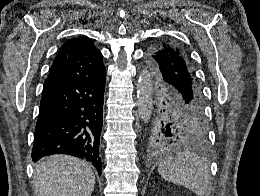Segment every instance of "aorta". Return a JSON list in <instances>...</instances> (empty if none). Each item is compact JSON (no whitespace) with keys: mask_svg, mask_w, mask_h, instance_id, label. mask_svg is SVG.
Here are the masks:
<instances>
[{"mask_svg":"<svg viewBox=\"0 0 260 196\" xmlns=\"http://www.w3.org/2000/svg\"><path fill=\"white\" fill-rule=\"evenodd\" d=\"M136 86L138 115L146 122L152 112L153 94L152 79L147 69L141 71Z\"/></svg>","mask_w":260,"mask_h":196,"instance_id":"762f6f07","label":"aorta"}]
</instances>
